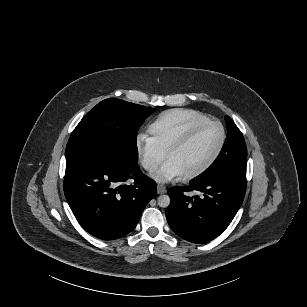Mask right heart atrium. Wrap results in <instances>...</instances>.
<instances>
[{
    "mask_svg": "<svg viewBox=\"0 0 307 307\" xmlns=\"http://www.w3.org/2000/svg\"><path fill=\"white\" fill-rule=\"evenodd\" d=\"M135 149L142 166L150 173H154L164 160V152L152 137L138 134Z\"/></svg>",
    "mask_w": 307,
    "mask_h": 307,
    "instance_id": "right-heart-atrium-1",
    "label": "right heart atrium"
}]
</instances>
